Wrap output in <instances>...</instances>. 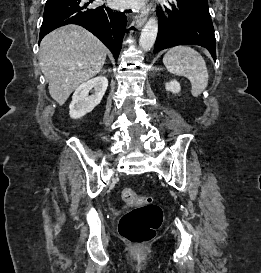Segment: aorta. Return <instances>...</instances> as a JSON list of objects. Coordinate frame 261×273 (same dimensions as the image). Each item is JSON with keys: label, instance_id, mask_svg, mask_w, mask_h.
Returning <instances> with one entry per match:
<instances>
[{"label": "aorta", "instance_id": "aorta-1", "mask_svg": "<svg viewBox=\"0 0 261 273\" xmlns=\"http://www.w3.org/2000/svg\"><path fill=\"white\" fill-rule=\"evenodd\" d=\"M158 33V21L156 18H150L142 29L139 46L144 51H149L156 40Z\"/></svg>", "mask_w": 261, "mask_h": 273}]
</instances>
